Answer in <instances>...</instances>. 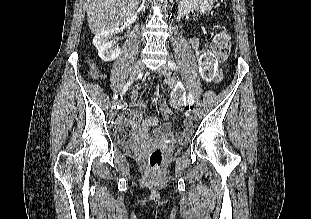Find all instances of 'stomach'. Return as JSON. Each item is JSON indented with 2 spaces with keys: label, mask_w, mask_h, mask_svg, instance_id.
I'll return each instance as SVG.
<instances>
[{
  "label": "stomach",
  "mask_w": 311,
  "mask_h": 219,
  "mask_svg": "<svg viewBox=\"0 0 311 219\" xmlns=\"http://www.w3.org/2000/svg\"><path fill=\"white\" fill-rule=\"evenodd\" d=\"M199 2L202 10H209L213 5L214 0H199Z\"/></svg>",
  "instance_id": "obj_1"
}]
</instances>
